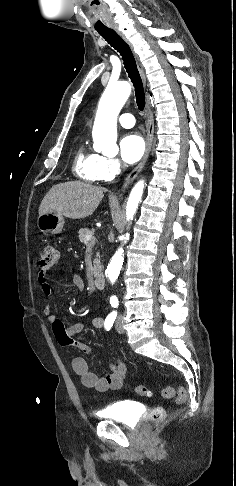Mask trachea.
Here are the masks:
<instances>
[{
	"mask_svg": "<svg viewBox=\"0 0 236 486\" xmlns=\"http://www.w3.org/2000/svg\"><path fill=\"white\" fill-rule=\"evenodd\" d=\"M99 34L122 56L125 69L135 88L137 106L139 110L142 111L145 107V94L143 91L142 80L130 47L113 29L99 31Z\"/></svg>",
	"mask_w": 236,
	"mask_h": 486,
	"instance_id": "1",
	"label": "trachea"
}]
</instances>
